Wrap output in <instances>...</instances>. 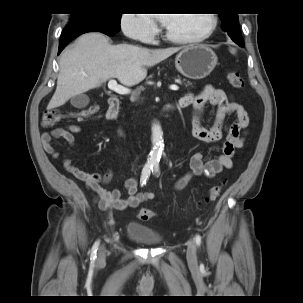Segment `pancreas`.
<instances>
[{
	"instance_id": "cf45deb5",
	"label": "pancreas",
	"mask_w": 303,
	"mask_h": 303,
	"mask_svg": "<svg viewBox=\"0 0 303 303\" xmlns=\"http://www.w3.org/2000/svg\"><path fill=\"white\" fill-rule=\"evenodd\" d=\"M184 81H186V80H184ZM190 85H192V83L189 82V81H187L186 84H185L186 87H187V86H190Z\"/></svg>"
}]
</instances>
